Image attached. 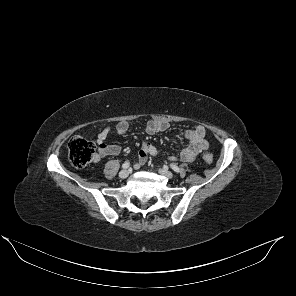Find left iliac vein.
<instances>
[{
	"label": "left iliac vein",
	"mask_w": 296,
	"mask_h": 296,
	"mask_svg": "<svg viewBox=\"0 0 296 296\" xmlns=\"http://www.w3.org/2000/svg\"><path fill=\"white\" fill-rule=\"evenodd\" d=\"M159 173L167 178H172L173 177V173L167 169H159Z\"/></svg>",
	"instance_id": "1"
}]
</instances>
